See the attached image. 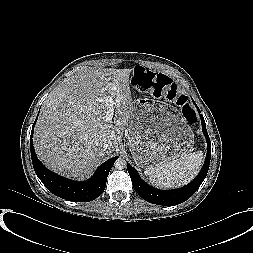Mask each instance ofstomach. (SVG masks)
Segmentation results:
<instances>
[{"mask_svg": "<svg viewBox=\"0 0 253 253\" xmlns=\"http://www.w3.org/2000/svg\"><path fill=\"white\" fill-rule=\"evenodd\" d=\"M126 126L134 138L130 152L136 165L144 169L177 159L193 147L194 134L187 120L165 101H133Z\"/></svg>", "mask_w": 253, "mask_h": 253, "instance_id": "stomach-1", "label": "stomach"}]
</instances>
